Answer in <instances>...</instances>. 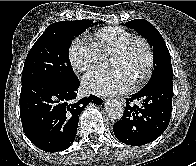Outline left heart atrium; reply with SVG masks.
Listing matches in <instances>:
<instances>
[{"instance_id":"1","label":"left heart atrium","mask_w":196,"mask_h":166,"mask_svg":"<svg viewBox=\"0 0 196 166\" xmlns=\"http://www.w3.org/2000/svg\"><path fill=\"white\" fill-rule=\"evenodd\" d=\"M134 85L133 78L123 69H97L83 78L85 89L94 94H117L130 90Z\"/></svg>"}]
</instances>
